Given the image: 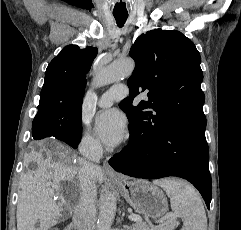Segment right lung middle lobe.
Listing matches in <instances>:
<instances>
[{
  "instance_id": "right-lung-middle-lobe-1",
  "label": "right lung middle lobe",
  "mask_w": 241,
  "mask_h": 230,
  "mask_svg": "<svg viewBox=\"0 0 241 230\" xmlns=\"http://www.w3.org/2000/svg\"><path fill=\"white\" fill-rule=\"evenodd\" d=\"M81 108H60L37 113L32 123V137H54L68 145L81 140Z\"/></svg>"
}]
</instances>
